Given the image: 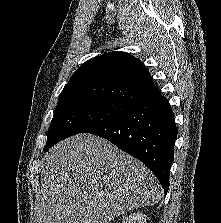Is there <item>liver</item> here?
I'll list each match as a JSON object with an SVG mask.
<instances>
[{
  "label": "liver",
  "mask_w": 221,
  "mask_h": 223,
  "mask_svg": "<svg viewBox=\"0 0 221 223\" xmlns=\"http://www.w3.org/2000/svg\"><path fill=\"white\" fill-rule=\"evenodd\" d=\"M41 166L36 223H108L161 198L159 182L142 162L91 134L57 143Z\"/></svg>",
  "instance_id": "obj_1"
}]
</instances>
